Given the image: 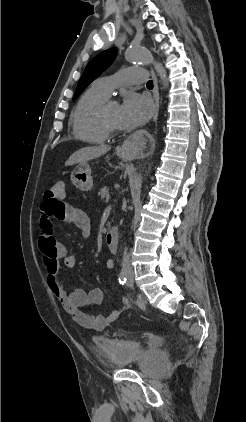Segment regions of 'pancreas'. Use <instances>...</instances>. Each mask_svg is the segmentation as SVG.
Listing matches in <instances>:
<instances>
[{"instance_id": "cf45deb5", "label": "pancreas", "mask_w": 246, "mask_h": 422, "mask_svg": "<svg viewBox=\"0 0 246 422\" xmlns=\"http://www.w3.org/2000/svg\"><path fill=\"white\" fill-rule=\"evenodd\" d=\"M108 193H109V189H108V187H107V186H104L103 188H101V189H100V191L98 192V195H99L102 199H104L105 197H107Z\"/></svg>"}]
</instances>
